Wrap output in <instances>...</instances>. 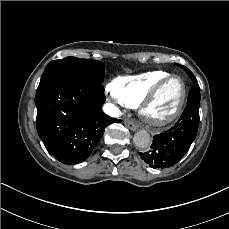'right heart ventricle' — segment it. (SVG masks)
I'll use <instances>...</instances> for the list:
<instances>
[{
  "mask_svg": "<svg viewBox=\"0 0 229 229\" xmlns=\"http://www.w3.org/2000/svg\"><path fill=\"white\" fill-rule=\"evenodd\" d=\"M172 74L164 70H151L117 78L112 87L116 96L130 105L143 102L152 88Z\"/></svg>",
  "mask_w": 229,
  "mask_h": 229,
  "instance_id": "obj_1",
  "label": "right heart ventricle"
}]
</instances>
